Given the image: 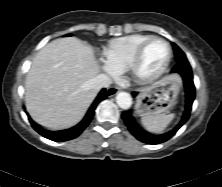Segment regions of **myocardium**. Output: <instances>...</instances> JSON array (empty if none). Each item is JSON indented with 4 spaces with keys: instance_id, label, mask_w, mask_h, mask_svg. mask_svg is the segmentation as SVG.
<instances>
[{
    "instance_id": "myocardium-1",
    "label": "myocardium",
    "mask_w": 222,
    "mask_h": 187,
    "mask_svg": "<svg viewBox=\"0 0 222 187\" xmlns=\"http://www.w3.org/2000/svg\"><path fill=\"white\" fill-rule=\"evenodd\" d=\"M154 42H162L164 43L167 48H168V56L164 62V64L162 65V67L157 70L155 73L153 74H143L141 71V65H142V61L144 58V54L147 50V48ZM172 47L171 44L164 38L161 37H152L149 40H147L146 42H144L136 51L127 71L129 72V74L132 76V78L139 83H151L155 80H157L159 77H161L164 72L167 70L171 59H172Z\"/></svg>"
}]
</instances>
